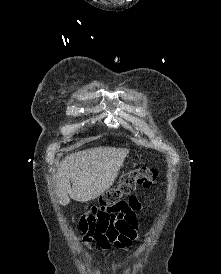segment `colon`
<instances>
[{
	"instance_id": "colon-1",
	"label": "colon",
	"mask_w": 221,
	"mask_h": 274,
	"mask_svg": "<svg viewBox=\"0 0 221 274\" xmlns=\"http://www.w3.org/2000/svg\"><path fill=\"white\" fill-rule=\"evenodd\" d=\"M156 170L140 167L124 174L115 188L107 190L100 199L101 206H114L121 202L123 196L131 194L137 186L152 188L157 185Z\"/></svg>"
}]
</instances>
